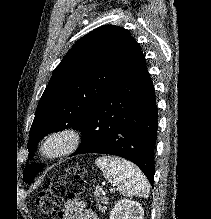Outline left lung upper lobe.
Wrapping results in <instances>:
<instances>
[{
  "label": "left lung upper lobe",
  "instance_id": "left-lung-upper-lobe-1",
  "mask_svg": "<svg viewBox=\"0 0 211 219\" xmlns=\"http://www.w3.org/2000/svg\"><path fill=\"white\" fill-rule=\"evenodd\" d=\"M141 48L124 28L106 25L79 39L57 66L38 103L29 135L33 151L45 135L66 128L79 129L86 116L140 55ZM42 169L24 171L30 183Z\"/></svg>",
  "mask_w": 211,
  "mask_h": 219
}]
</instances>
